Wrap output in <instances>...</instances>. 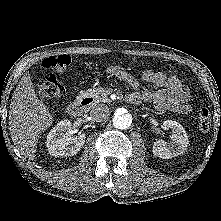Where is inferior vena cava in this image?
<instances>
[{"mask_svg": "<svg viewBox=\"0 0 221 221\" xmlns=\"http://www.w3.org/2000/svg\"><path fill=\"white\" fill-rule=\"evenodd\" d=\"M90 115L96 122H104L109 118V107L105 104H98L92 108Z\"/></svg>", "mask_w": 221, "mask_h": 221, "instance_id": "obj_1", "label": "inferior vena cava"}]
</instances>
